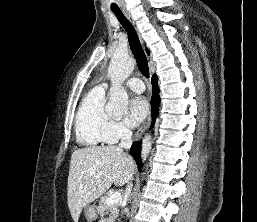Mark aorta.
<instances>
[{
    "mask_svg": "<svg viewBox=\"0 0 257 222\" xmlns=\"http://www.w3.org/2000/svg\"><path fill=\"white\" fill-rule=\"evenodd\" d=\"M134 65L133 59L123 51H116L110 61L108 76L111 80V87L109 101L106 106V111L110 115H123L127 112L128 94L122 84L133 71ZM151 147V136L148 134L142 142L141 158L143 161L147 159Z\"/></svg>",
    "mask_w": 257,
    "mask_h": 222,
    "instance_id": "obj_1",
    "label": "aorta"
}]
</instances>
